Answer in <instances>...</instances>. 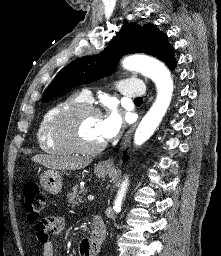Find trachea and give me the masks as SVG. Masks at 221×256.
Here are the masks:
<instances>
[{
  "label": "trachea",
  "mask_w": 221,
  "mask_h": 256,
  "mask_svg": "<svg viewBox=\"0 0 221 256\" xmlns=\"http://www.w3.org/2000/svg\"><path fill=\"white\" fill-rule=\"evenodd\" d=\"M135 101H137V102H142V101H143V98H141V97L135 98Z\"/></svg>",
  "instance_id": "trachea-1"
}]
</instances>
